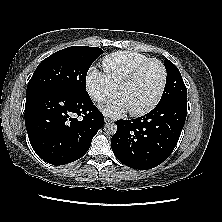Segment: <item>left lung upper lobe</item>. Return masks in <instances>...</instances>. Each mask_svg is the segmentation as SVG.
<instances>
[{
  "label": "left lung upper lobe",
  "instance_id": "1",
  "mask_svg": "<svg viewBox=\"0 0 222 222\" xmlns=\"http://www.w3.org/2000/svg\"><path fill=\"white\" fill-rule=\"evenodd\" d=\"M164 65L167 71V79L160 102L172 97L187 98V88L178 68L167 59L164 61Z\"/></svg>",
  "mask_w": 222,
  "mask_h": 222
}]
</instances>
